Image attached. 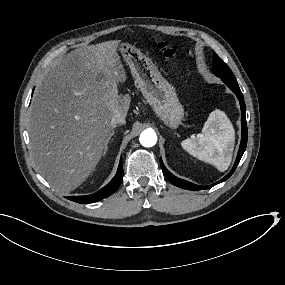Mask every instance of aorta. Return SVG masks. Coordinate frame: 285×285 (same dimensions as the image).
<instances>
[{"label": "aorta", "instance_id": "obj_1", "mask_svg": "<svg viewBox=\"0 0 285 285\" xmlns=\"http://www.w3.org/2000/svg\"><path fill=\"white\" fill-rule=\"evenodd\" d=\"M139 140L142 146L152 147L157 142V135L153 129L148 128L140 134Z\"/></svg>", "mask_w": 285, "mask_h": 285}]
</instances>
